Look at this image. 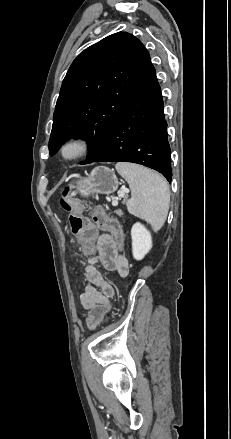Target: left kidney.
<instances>
[{
  "label": "left kidney",
  "mask_w": 231,
  "mask_h": 439,
  "mask_svg": "<svg viewBox=\"0 0 231 439\" xmlns=\"http://www.w3.org/2000/svg\"><path fill=\"white\" fill-rule=\"evenodd\" d=\"M132 254L134 259L141 260L152 248V236L147 228L140 222L131 228Z\"/></svg>",
  "instance_id": "left-kidney-1"
}]
</instances>
